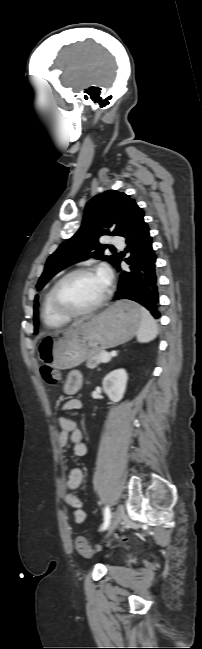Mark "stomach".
<instances>
[{
  "label": "stomach",
  "instance_id": "0dacf381",
  "mask_svg": "<svg viewBox=\"0 0 202 649\" xmlns=\"http://www.w3.org/2000/svg\"><path fill=\"white\" fill-rule=\"evenodd\" d=\"M141 320L139 305L116 302L78 326L42 338L37 348L38 358L57 370L74 368L97 352L130 340L137 334Z\"/></svg>",
  "mask_w": 202,
  "mask_h": 649
}]
</instances>
